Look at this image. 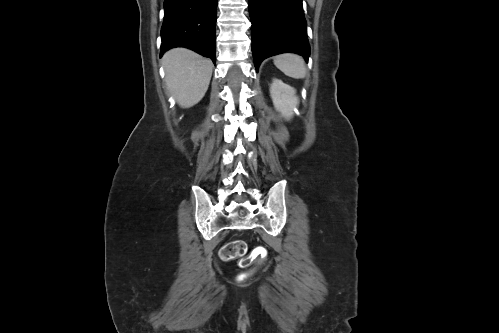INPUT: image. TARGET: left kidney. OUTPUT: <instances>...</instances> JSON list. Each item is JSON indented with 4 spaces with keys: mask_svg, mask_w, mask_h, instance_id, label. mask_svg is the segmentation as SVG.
<instances>
[{
    "mask_svg": "<svg viewBox=\"0 0 499 333\" xmlns=\"http://www.w3.org/2000/svg\"><path fill=\"white\" fill-rule=\"evenodd\" d=\"M270 95L275 108L286 119L293 115L294 108L298 100L295 96V89L283 83L281 80L274 79L270 88Z\"/></svg>",
    "mask_w": 499,
    "mask_h": 333,
    "instance_id": "1",
    "label": "left kidney"
}]
</instances>
